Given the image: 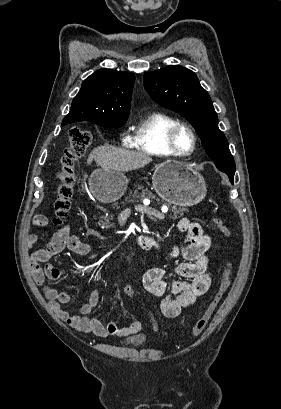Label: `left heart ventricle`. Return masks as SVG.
<instances>
[{
	"instance_id": "obj_1",
	"label": "left heart ventricle",
	"mask_w": 281,
	"mask_h": 409,
	"mask_svg": "<svg viewBox=\"0 0 281 409\" xmlns=\"http://www.w3.org/2000/svg\"><path fill=\"white\" fill-rule=\"evenodd\" d=\"M181 141H182L183 148L185 150H189V148H190V138H189V136L188 135H183Z\"/></svg>"
}]
</instances>
